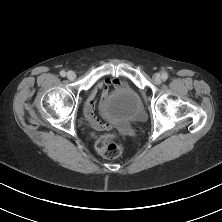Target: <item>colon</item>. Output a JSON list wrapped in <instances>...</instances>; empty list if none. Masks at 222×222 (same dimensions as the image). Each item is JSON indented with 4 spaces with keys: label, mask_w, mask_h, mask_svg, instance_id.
Wrapping results in <instances>:
<instances>
[{
    "label": "colon",
    "mask_w": 222,
    "mask_h": 222,
    "mask_svg": "<svg viewBox=\"0 0 222 222\" xmlns=\"http://www.w3.org/2000/svg\"><path fill=\"white\" fill-rule=\"evenodd\" d=\"M96 149L101 155L109 159L117 158L123 152V148L116 137L110 135L101 137L96 143Z\"/></svg>",
    "instance_id": "1"
}]
</instances>
